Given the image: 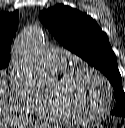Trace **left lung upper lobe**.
Segmentation results:
<instances>
[{"mask_svg": "<svg viewBox=\"0 0 125 128\" xmlns=\"http://www.w3.org/2000/svg\"><path fill=\"white\" fill-rule=\"evenodd\" d=\"M39 19L65 48L99 69L109 79L118 104L112 112L116 116L125 117V93L117 59L107 34L96 21L63 4L42 10Z\"/></svg>", "mask_w": 125, "mask_h": 128, "instance_id": "left-lung-upper-lobe-1", "label": "left lung upper lobe"}]
</instances>
